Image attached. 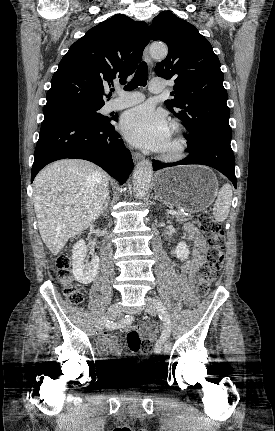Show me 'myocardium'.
Returning <instances> with one entry per match:
<instances>
[{
	"label": "myocardium",
	"instance_id": "myocardium-1",
	"mask_svg": "<svg viewBox=\"0 0 275 431\" xmlns=\"http://www.w3.org/2000/svg\"><path fill=\"white\" fill-rule=\"evenodd\" d=\"M170 128L175 135L174 146L170 150H162L160 158L166 162H176L185 157L189 142L184 127L178 121H172Z\"/></svg>",
	"mask_w": 275,
	"mask_h": 431
}]
</instances>
